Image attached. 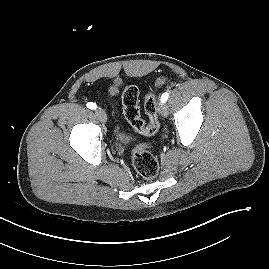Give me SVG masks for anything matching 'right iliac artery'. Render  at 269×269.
<instances>
[{
	"label": "right iliac artery",
	"instance_id": "82829eb1",
	"mask_svg": "<svg viewBox=\"0 0 269 269\" xmlns=\"http://www.w3.org/2000/svg\"><path fill=\"white\" fill-rule=\"evenodd\" d=\"M87 107L89 108V109H96V104L95 103H92V102H88L87 103Z\"/></svg>",
	"mask_w": 269,
	"mask_h": 269
}]
</instances>
